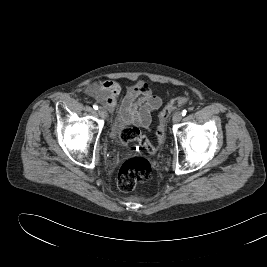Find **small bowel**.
Returning <instances> with one entry per match:
<instances>
[{
	"mask_svg": "<svg viewBox=\"0 0 267 267\" xmlns=\"http://www.w3.org/2000/svg\"><path fill=\"white\" fill-rule=\"evenodd\" d=\"M121 91V85L113 80L94 83L88 87L90 95L116 112L119 127L136 125L148 128L152 113L161 107L162 99L153 92L147 82L141 80L126 89L121 105H118L117 98Z\"/></svg>",
	"mask_w": 267,
	"mask_h": 267,
	"instance_id": "1",
	"label": "small bowel"
}]
</instances>
